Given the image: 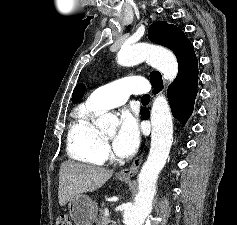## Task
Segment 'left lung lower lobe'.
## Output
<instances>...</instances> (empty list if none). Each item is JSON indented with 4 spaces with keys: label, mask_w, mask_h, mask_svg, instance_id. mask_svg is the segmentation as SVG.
<instances>
[{
    "label": "left lung lower lobe",
    "mask_w": 237,
    "mask_h": 225,
    "mask_svg": "<svg viewBox=\"0 0 237 225\" xmlns=\"http://www.w3.org/2000/svg\"><path fill=\"white\" fill-rule=\"evenodd\" d=\"M198 74L182 77L174 81L167 90V96L173 116L184 125L191 116L197 95ZM154 93H158L162 86L154 87ZM143 119L150 117L148 109H141Z\"/></svg>",
    "instance_id": "left-lung-lower-lobe-1"
}]
</instances>
